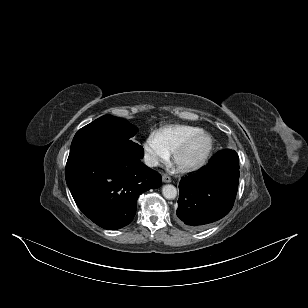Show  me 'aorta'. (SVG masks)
<instances>
[{"label": "aorta", "instance_id": "obj_1", "mask_svg": "<svg viewBox=\"0 0 308 308\" xmlns=\"http://www.w3.org/2000/svg\"><path fill=\"white\" fill-rule=\"evenodd\" d=\"M162 194L166 199H174L177 195V190L175 186L171 184L164 185L162 188Z\"/></svg>", "mask_w": 308, "mask_h": 308}]
</instances>
